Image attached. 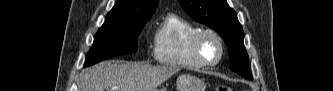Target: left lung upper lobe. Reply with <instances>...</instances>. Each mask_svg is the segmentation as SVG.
<instances>
[{
  "label": "left lung upper lobe",
  "mask_w": 333,
  "mask_h": 91,
  "mask_svg": "<svg viewBox=\"0 0 333 91\" xmlns=\"http://www.w3.org/2000/svg\"><path fill=\"white\" fill-rule=\"evenodd\" d=\"M184 10L200 23L210 26L228 47L229 66L234 72L251 79L248 54L244 47V32L236 12L226 0H179Z\"/></svg>",
  "instance_id": "obj_1"
}]
</instances>
